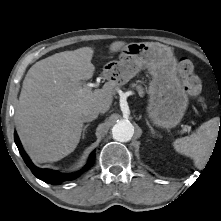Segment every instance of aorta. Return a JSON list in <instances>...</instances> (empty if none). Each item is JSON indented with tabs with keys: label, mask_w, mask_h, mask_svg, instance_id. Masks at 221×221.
<instances>
[{
	"label": "aorta",
	"mask_w": 221,
	"mask_h": 221,
	"mask_svg": "<svg viewBox=\"0 0 221 221\" xmlns=\"http://www.w3.org/2000/svg\"><path fill=\"white\" fill-rule=\"evenodd\" d=\"M134 134V126L127 120L117 122L112 128L113 138L120 142L131 140Z\"/></svg>",
	"instance_id": "1"
}]
</instances>
